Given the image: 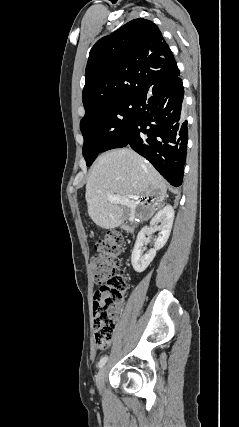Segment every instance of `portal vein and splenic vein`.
<instances>
[{"label": "portal vein and splenic vein", "instance_id": "portal-vein-and-splenic-vein-1", "mask_svg": "<svg viewBox=\"0 0 239 427\" xmlns=\"http://www.w3.org/2000/svg\"><path fill=\"white\" fill-rule=\"evenodd\" d=\"M108 200L111 203H115V204H128L131 202V198L133 197H121L119 195H108ZM133 202V201H132Z\"/></svg>", "mask_w": 239, "mask_h": 427}]
</instances>
